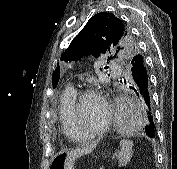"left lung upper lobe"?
I'll list each match as a JSON object with an SVG mask.
<instances>
[{
	"label": "left lung upper lobe",
	"instance_id": "obj_1",
	"mask_svg": "<svg viewBox=\"0 0 177 169\" xmlns=\"http://www.w3.org/2000/svg\"><path fill=\"white\" fill-rule=\"evenodd\" d=\"M105 53L126 62L139 54L129 27L114 14L101 12L89 19L67 50L62 53L61 60H77L82 55L89 54L97 58ZM56 85L57 81H53V87Z\"/></svg>",
	"mask_w": 177,
	"mask_h": 169
}]
</instances>
